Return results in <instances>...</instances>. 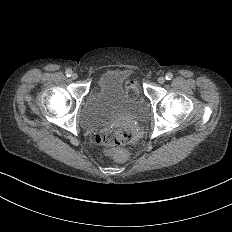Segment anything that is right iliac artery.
I'll list each match as a JSON object with an SVG mask.
<instances>
[{
    "label": "right iliac artery",
    "instance_id": "82829eb1",
    "mask_svg": "<svg viewBox=\"0 0 232 232\" xmlns=\"http://www.w3.org/2000/svg\"><path fill=\"white\" fill-rule=\"evenodd\" d=\"M65 73H66V76H67V77H71V75H72V71H71V70H69V69H68V70H66V72H65Z\"/></svg>",
    "mask_w": 232,
    "mask_h": 232
}]
</instances>
